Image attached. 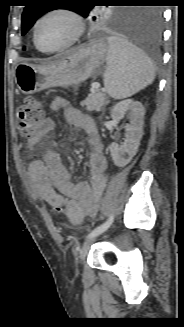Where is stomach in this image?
I'll list each match as a JSON object with an SVG mask.
<instances>
[{
	"mask_svg": "<svg viewBox=\"0 0 184 327\" xmlns=\"http://www.w3.org/2000/svg\"><path fill=\"white\" fill-rule=\"evenodd\" d=\"M108 54L106 41H95L73 54L45 65L19 63L14 76L23 94H33L51 87H78L102 72Z\"/></svg>",
	"mask_w": 184,
	"mask_h": 327,
	"instance_id": "obj_1",
	"label": "stomach"
}]
</instances>
